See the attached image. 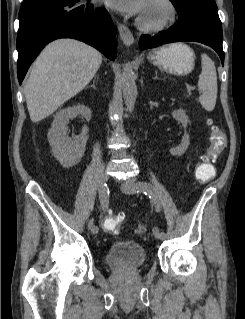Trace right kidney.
Returning <instances> with one entry per match:
<instances>
[{
	"label": "right kidney",
	"mask_w": 245,
	"mask_h": 319,
	"mask_svg": "<svg viewBox=\"0 0 245 319\" xmlns=\"http://www.w3.org/2000/svg\"><path fill=\"white\" fill-rule=\"evenodd\" d=\"M81 115L87 121L91 119L92 112L85 105L68 107L56 113L51 129L48 132V141L52 147V155L64 168L78 164L83 157L88 139V127L83 126L79 136H67V123L70 119Z\"/></svg>",
	"instance_id": "obj_1"
}]
</instances>
